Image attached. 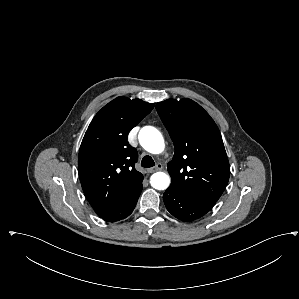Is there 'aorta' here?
I'll return each instance as SVG.
<instances>
[{"label":"aorta","instance_id":"762f6f07","mask_svg":"<svg viewBox=\"0 0 299 299\" xmlns=\"http://www.w3.org/2000/svg\"><path fill=\"white\" fill-rule=\"evenodd\" d=\"M139 143L148 152L159 154L164 150L165 144L162 134L154 127L145 126L139 132ZM150 184L157 190L167 189L170 177L164 172H156L150 178Z\"/></svg>","mask_w":299,"mask_h":299}]
</instances>
